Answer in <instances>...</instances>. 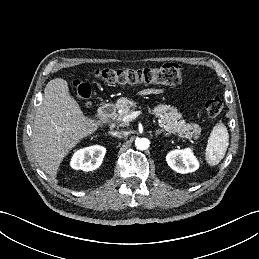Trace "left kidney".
Masks as SVG:
<instances>
[{
    "instance_id": "obj_1",
    "label": "left kidney",
    "mask_w": 259,
    "mask_h": 259,
    "mask_svg": "<svg viewBox=\"0 0 259 259\" xmlns=\"http://www.w3.org/2000/svg\"><path fill=\"white\" fill-rule=\"evenodd\" d=\"M166 161L171 169L181 174L194 172L199 168V162L190 148L169 152Z\"/></svg>"
}]
</instances>
